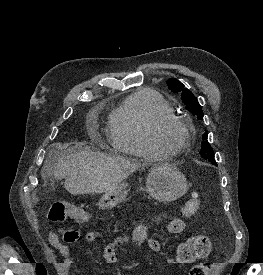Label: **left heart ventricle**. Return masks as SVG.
I'll return each instance as SVG.
<instances>
[{"label":"left heart ventricle","instance_id":"obj_1","mask_svg":"<svg viewBox=\"0 0 263 275\" xmlns=\"http://www.w3.org/2000/svg\"><path fill=\"white\" fill-rule=\"evenodd\" d=\"M182 136L181 131L173 126L167 127L160 132L161 140L168 145H175Z\"/></svg>","mask_w":263,"mask_h":275}]
</instances>
